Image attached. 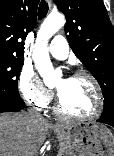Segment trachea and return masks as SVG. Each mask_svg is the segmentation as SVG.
Listing matches in <instances>:
<instances>
[{"mask_svg": "<svg viewBox=\"0 0 114 156\" xmlns=\"http://www.w3.org/2000/svg\"><path fill=\"white\" fill-rule=\"evenodd\" d=\"M48 3L45 0H42L40 2L39 8H38V18L39 20H42L46 17L48 13Z\"/></svg>", "mask_w": 114, "mask_h": 156, "instance_id": "obj_1", "label": "trachea"}]
</instances>
